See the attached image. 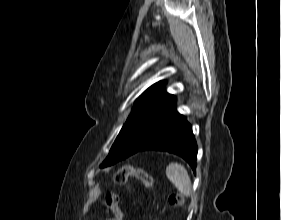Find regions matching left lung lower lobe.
<instances>
[{"mask_svg":"<svg viewBox=\"0 0 281 220\" xmlns=\"http://www.w3.org/2000/svg\"><path fill=\"white\" fill-rule=\"evenodd\" d=\"M165 151L185 159L196 172L197 144L192 127L176 110V104L165 116L150 140L139 150Z\"/></svg>","mask_w":281,"mask_h":220,"instance_id":"0a47b994","label":"left lung lower lobe"}]
</instances>
